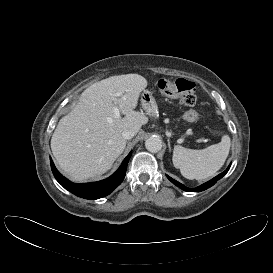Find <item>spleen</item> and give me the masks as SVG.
I'll return each instance as SVG.
<instances>
[{
    "label": "spleen",
    "mask_w": 273,
    "mask_h": 273,
    "mask_svg": "<svg viewBox=\"0 0 273 273\" xmlns=\"http://www.w3.org/2000/svg\"><path fill=\"white\" fill-rule=\"evenodd\" d=\"M230 137L224 135L218 144L205 149L193 150L176 145L173 165L187 179L203 180L213 176L225 163L230 150Z\"/></svg>",
    "instance_id": "1"
}]
</instances>
